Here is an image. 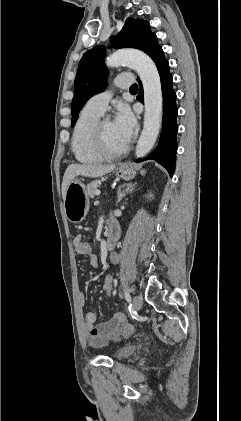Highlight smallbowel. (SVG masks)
<instances>
[{"mask_svg": "<svg viewBox=\"0 0 241 421\" xmlns=\"http://www.w3.org/2000/svg\"><path fill=\"white\" fill-rule=\"evenodd\" d=\"M81 241H83L81 235L75 236L73 240L75 249ZM87 256L91 267L96 268L98 266V257L93 253H89ZM110 259L113 263H116L118 257L113 253ZM79 300L81 303H84L85 297L83 293L79 294ZM96 319V313L93 311H89L85 315L87 341L90 346L95 348H102L106 346L109 340L119 339L122 335H127L132 330V326L122 313H115L111 319L97 325H95Z\"/></svg>", "mask_w": 241, "mask_h": 421, "instance_id": "c3829d8e", "label": "small bowel"}]
</instances>
